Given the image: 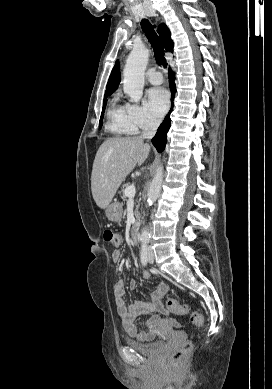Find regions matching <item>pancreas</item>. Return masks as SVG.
Returning a JSON list of instances; mask_svg holds the SVG:
<instances>
[{
	"label": "pancreas",
	"instance_id": "pancreas-1",
	"mask_svg": "<svg viewBox=\"0 0 272 389\" xmlns=\"http://www.w3.org/2000/svg\"><path fill=\"white\" fill-rule=\"evenodd\" d=\"M128 187V184H125L124 186H123V188H122V190H121V192H122V199L123 200H126V198H127V196L125 195V188H127ZM137 209H138V205H137Z\"/></svg>",
	"mask_w": 272,
	"mask_h": 389
}]
</instances>
